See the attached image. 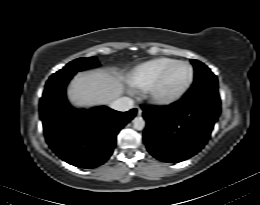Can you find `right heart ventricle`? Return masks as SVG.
Returning a JSON list of instances; mask_svg holds the SVG:
<instances>
[{
  "label": "right heart ventricle",
  "mask_w": 260,
  "mask_h": 205,
  "mask_svg": "<svg viewBox=\"0 0 260 205\" xmlns=\"http://www.w3.org/2000/svg\"><path fill=\"white\" fill-rule=\"evenodd\" d=\"M177 61L170 57H159L138 65L130 75L129 83L138 89H146L170 64Z\"/></svg>",
  "instance_id": "obj_1"
}]
</instances>
